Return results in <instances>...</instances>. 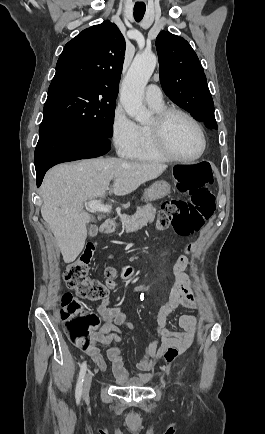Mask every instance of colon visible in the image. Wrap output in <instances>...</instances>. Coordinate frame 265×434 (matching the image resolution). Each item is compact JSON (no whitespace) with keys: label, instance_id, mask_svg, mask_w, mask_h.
I'll use <instances>...</instances> for the list:
<instances>
[{"label":"colon","instance_id":"obj_1","mask_svg":"<svg viewBox=\"0 0 265 434\" xmlns=\"http://www.w3.org/2000/svg\"><path fill=\"white\" fill-rule=\"evenodd\" d=\"M173 172L178 173L180 188L189 193L190 200L167 199L158 213V222L161 227H171L177 235L187 237L199 232L204 221L213 214L215 195L209 189L214 184L212 167L209 164H174ZM94 252L93 247L88 248L73 264L67 266L63 281L79 298L97 303L109 298L114 282L111 269L107 270L104 280L89 277L88 269ZM75 300V294L68 293L63 296L62 306L66 309L63 315L66 318H62L60 322L62 332L67 335L71 347H89L90 335H94L104 322L99 314H77L81 309ZM181 355L177 346L169 344L164 358L172 364Z\"/></svg>","mask_w":265,"mask_h":434}]
</instances>
